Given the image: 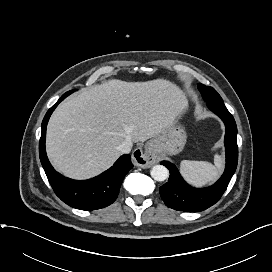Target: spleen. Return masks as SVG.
I'll return each instance as SVG.
<instances>
[{"label": "spleen", "mask_w": 272, "mask_h": 272, "mask_svg": "<svg viewBox=\"0 0 272 272\" xmlns=\"http://www.w3.org/2000/svg\"><path fill=\"white\" fill-rule=\"evenodd\" d=\"M223 168V158L215 155L214 165L205 161H188L180 163V171L187 181L201 186L217 179Z\"/></svg>", "instance_id": "spleen-1"}]
</instances>
